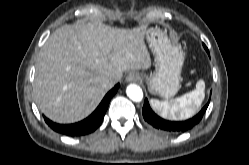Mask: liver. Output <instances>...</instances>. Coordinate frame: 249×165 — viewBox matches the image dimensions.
<instances>
[{"label":"liver","instance_id":"liver-1","mask_svg":"<svg viewBox=\"0 0 249 165\" xmlns=\"http://www.w3.org/2000/svg\"><path fill=\"white\" fill-rule=\"evenodd\" d=\"M147 27L120 29L98 21L64 25L41 48L35 70L34 98L39 110L57 123H74L89 116L126 71L149 69L144 42Z\"/></svg>","mask_w":249,"mask_h":165}]
</instances>
